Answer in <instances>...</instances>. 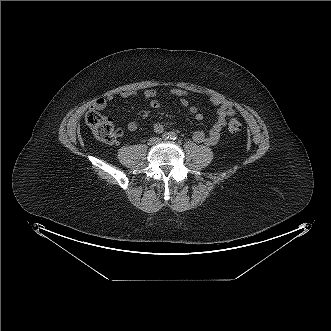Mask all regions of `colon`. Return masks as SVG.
I'll use <instances>...</instances> for the list:
<instances>
[{
  "label": "colon",
  "instance_id": "colon-1",
  "mask_svg": "<svg viewBox=\"0 0 331 331\" xmlns=\"http://www.w3.org/2000/svg\"><path fill=\"white\" fill-rule=\"evenodd\" d=\"M85 119L94 136L102 142L113 144L121 134V131L115 128L112 119L102 115L97 110H89ZM228 130L232 134H237L242 130V124L236 117H230Z\"/></svg>",
  "mask_w": 331,
  "mask_h": 331
}]
</instances>
